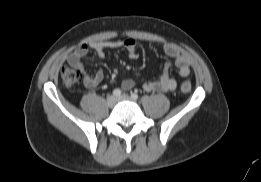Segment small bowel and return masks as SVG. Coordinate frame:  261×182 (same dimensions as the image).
I'll return each mask as SVG.
<instances>
[{"label":"small bowel","instance_id":"1","mask_svg":"<svg viewBox=\"0 0 261 182\" xmlns=\"http://www.w3.org/2000/svg\"><path fill=\"white\" fill-rule=\"evenodd\" d=\"M90 48L95 52V59H103L107 49L118 48H124L131 59H137L139 57L137 42L132 38L115 41H98L81 45L67 56V63L81 73L83 84L86 88H95L103 80L102 71L97 70L94 73H89L86 71L84 63L82 62V58L87 55ZM162 50L168 57L173 59V63H167L164 71L156 80L147 81L143 84V89L147 92H168L176 88V81L170 77L168 73L172 65L177 67L180 77L186 78L190 74L189 58L187 55L171 44H163ZM134 85L135 82L132 79H125L121 83V87L124 90H130Z\"/></svg>","mask_w":261,"mask_h":182}]
</instances>
